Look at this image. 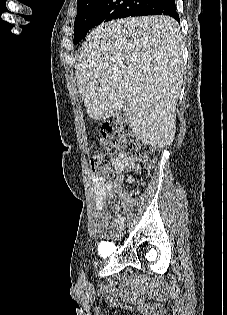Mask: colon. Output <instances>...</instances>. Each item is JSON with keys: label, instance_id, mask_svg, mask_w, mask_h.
<instances>
[{"label": "colon", "instance_id": "5ec220e1", "mask_svg": "<svg viewBox=\"0 0 227 315\" xmlns=\"http://www.w3.org/2000/svg\"><path fill=\"white\" fill-rule=\"evenodd\" d=\"M103 149L92 156V171L99 175H106L109 170L108 157L122 150L133 157V160L146 169L154 166L157 150L139 139L126 125L110 123L103 126L99 138Z\"/></svg>", "mask_w": 227, "mask_h": 315}]
</instances>
